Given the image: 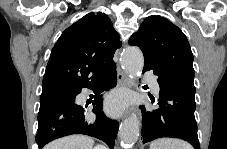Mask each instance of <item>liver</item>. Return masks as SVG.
<instances>
[{
    "instance_id": "obj_1",
    "label": "liver",
    "mask_w": 227,
    "mask_h": 149,
    "mask_svg": "<svg viewBox=\"0 0 227 149\" xmlns=\"http://www.w3.org/2000/svg\"><path fill=\"white\" fill-rule=\"evenodd\" d=\"M94 140L84 135H70L45 146L44 149H92Z\"/></svg>"
}]
</instances>
